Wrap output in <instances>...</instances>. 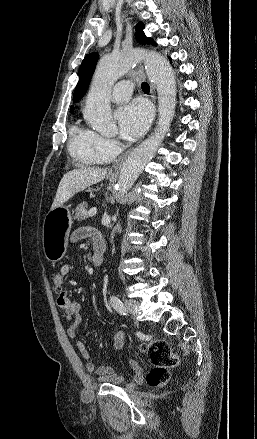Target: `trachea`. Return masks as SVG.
<instances>
[{
    "mask_svg": "<svg viewBox=\"0 0 257 439\" xmlns=\"http://www.w3.org/2000/svg\"><path fill=\"white\" fill-rule=\"evenodd\" d=\"M141 88H142L143 92H149L150 91V86L146 82L142 83Z\"/></svg>",
    "mask_w": 257,
    "mask_h": 439,
    "instance_id": "3493384b",
    "label": "trachea"
}]
</instances>
